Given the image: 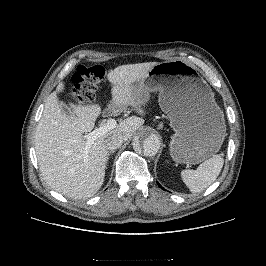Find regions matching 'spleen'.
I'll use <instances>...</instances> for the list:
<instances>
[{
  "label": "spleen",
  "mask_w": 266,
  "mask_h": 266,
  "mask_svg": "<svg viewBox=\"0 0 266 266\" xmlns=\"http://www.w3.org/2000/svg\"><path fill=\"white\" fill-rule=\"evenodd\" d=\"M223 164V154L214 155L200 164L196 170H183L182 180L192 193L201 192L216 180Z\"/></svg>",
  "instance_id": "3e777b00"
}]
</instances>
